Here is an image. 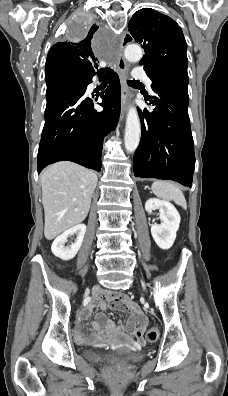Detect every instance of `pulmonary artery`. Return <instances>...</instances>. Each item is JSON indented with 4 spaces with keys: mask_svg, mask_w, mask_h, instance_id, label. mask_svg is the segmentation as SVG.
Wrapping results in <instances>:
<instances>
[{
    "mask_svg": "<svg viewBox=\"0 0 228 396\" xmlns=\"http://www.w3.org/2000/svg\"><path fill=\"white\" fill-rule=\"evenodd\" d=\"M133 77L135 79H139V80H143L147 86H151L152 81L151 79L147 76V74L145 73V71L143 70V68L141 67H137L133 70Z\"/></svg>",
    "mask_w": 228,
    "mask_h": 396,
    "instance_id": "1",
    "label": "pulmonary artery"
}]
</instances>
